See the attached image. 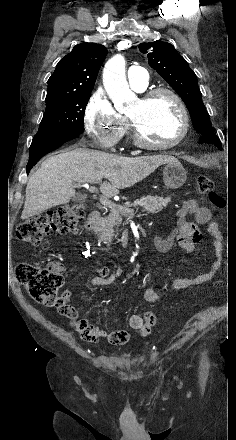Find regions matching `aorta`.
<instances>
[{
  "instance_id": "762f6f07",
  "label": "aorta",
  "mask_w": 236,
  "mask_h": 440,
  "mask_svg": "<svg viewBox=\"0 0 236 440\" xmlns=\"http://www.w3.org/2000/svg\"><path fill=\"white\" fill-rule=\"evenodd\" d=\"M125 59L121 55L112 57L103 71V84L117 111H124L136 100L125 75Z\"/></svg>"
}]
</instances>
